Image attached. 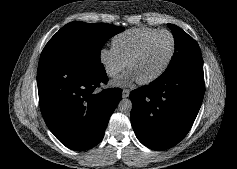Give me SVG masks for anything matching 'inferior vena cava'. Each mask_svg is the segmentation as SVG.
<instances>
[{
    "mask_svg": "<svg viewBox=\"0 0 237 169\" xmlns=\"http://www.w3.org/2000/svg\"><path fill=\"white\" fill-rule=\"evenodd\" d=\"M108 75L114 76L117 72L115 70H107Z\"/></svg>",
    "mask_w": 237,
    "mask_h": 169,
    "instance_id": "1",
    "label": "inferior vena cava"
}]
</instances>
